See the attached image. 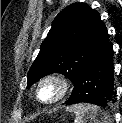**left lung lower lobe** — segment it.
<instances>
[{"mask_svg":"<svg viewBox=\"0 0 122 123\" xmlns=\"http://www.w3.org/2000/svg\"><path fill=\"white\" fill-rule=\"evenodd\" d=\"M74 83L66 105L85 102L104 106L113 100V48L109 39L86 63Z\"/></svg>","mask_w":122,"mask_h":123,"instance_id":"1","label":"left lung lower lobe"}]
</instances>
